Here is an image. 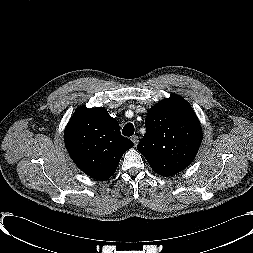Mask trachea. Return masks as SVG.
Here are the masks:
<instances>
[{"instance_id":"obj_1","label":"trachea","mask_w":253,"mask_h":253,"mask_svg":"<svg viewBox=\"0 0 253 253\" xmlns=\"http://www.w3.org/2000/svg\"><path fill=\"white\" fill-rule=\"evenodd\" d=\"M124 136L130 137L134 134V126L132 123H127L122 130Z\"/></svg>"}]
</instances>
